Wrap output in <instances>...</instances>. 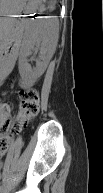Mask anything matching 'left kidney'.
I'll return each mask as SVG.
<instances>
[{
	"label": "left kidney",
	"instance_id": "1",
	"mask_svg": "<svg viewBox=\"0 0 103 193\" xmlns=\"http://www.w3.org/2000/svg\"><path fill=\"white\" fill-rule=\"evenodd\" d=\"M58 39V21L53 17H42L33 29L31 39L20 51L18 68L22 78L29 79L34 83L45 72L52 56L53 47ZM32 51L39 52V59L36 67L31 68L28 63V56Z\"/></svg>",
	"mask_w": 103,
	"mask_h": 193
}]
</instances>
